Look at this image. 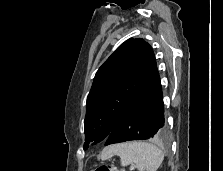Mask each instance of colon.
Returning a JSON list of instances; mask_svg holds the SVG:
<instances>
[{"mask_svg": "<svg viewBox=\"0 0 223 171\" xmlns=\"http://www.w3.org/2000/svg\"><path fill=\"white\" fill-rule=\"evenodd\" d=\"M93 171H123V170H120V169H118L114 166H111V165H102V166L97 167Z\"/></svg>", "mask_w": 223, "mask_h": 171, "instance_id": "obj_1", "label": "colon"}]
</instances>
